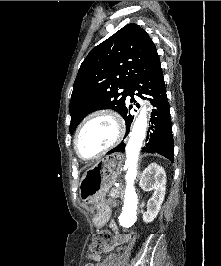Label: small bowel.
I'll return each instance as SVG.
<instances>
[{
	"label": "small bowel",
	"mask_w": 221,
	"mask_h": 266,
	"mask_svg": "<svg viewBox=\"0 0 221 266\" xmlns=\"http://www.w3.org/2000/svg\"><path fill=\"white\" fill-rule=\"evenodd\" d=\"M130 240L129 234H117L115 242L116 245L126 243ZM115 249V246H108L105 249V252L109 253V255L106 257L105 260L101 261L99 255H92L91 260L96 262V264H86L85 266H113L116 261V254L113 253V250Z\"/></svg>",
	"instance_id": "c3829d8e"
}]
</instances>
